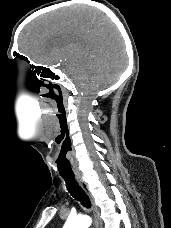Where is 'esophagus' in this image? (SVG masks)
I'll return each mask as SVG.
<instances>
[{"mask_svg":"<svg viewBox=\"0 0 171 228\" xmlns=\"http://www.w3.org/2000/svg\"><path fill=\"white\" fill-rule=\"evenodd\" d=\"M76 181L80 185V187L84 190V192L87 194L89 197L91 204H92V209L94 213V223L95 226L94 228H102V221L100 219V213L98 207L95 205L94 198L89 190L88 184L84 181L83 177L80 175L75 176Z\"/></svg>","mask_w":171,"mask_h":228,"instance_id":"esophagus-1","label":"esophagus"}]
</instances>
